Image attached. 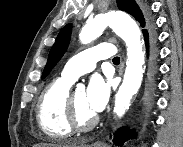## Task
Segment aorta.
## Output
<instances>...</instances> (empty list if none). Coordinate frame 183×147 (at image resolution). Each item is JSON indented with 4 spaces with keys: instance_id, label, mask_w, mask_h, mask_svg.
<instances>
[{
    "instance_id": "obj_1",
    "label": "aorta",
    "mask_w": 183,
    "mask_h": 147,
    "mask_svg": "<svg viewBox=\"0 0 183 147\" xmlns=\"http://www.w3.org/2000/svg\"><path fill=\"white\" fill-rule=\"evenodd\" d=\"M110 27L127 46V64L124 79L115 95L114 113L122 117L130 106L132 97L138 92L144 73L145 54L141 43V32L136 22L122 12L101 13L90 19L81 29L79 39L88 44ZM78 88H83L78 84Z\"/></svg>"
}]
</instances>
